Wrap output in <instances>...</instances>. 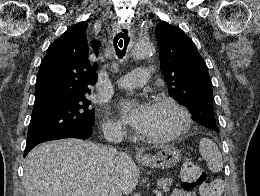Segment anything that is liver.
I'll use <instances>...</instances> for the list:
<instances>
[{
  "label": "liver",
  "mask_w": 260,
  "mask_h": 196,
  "mask_svg": "<svg viewBox=\"0 0 260 196\" xmlns=\"http://www.w3.org/2000/svg\"><path fill=\"white\" fill-rule=\"evenodd\" d=\"M117 156L111 164L106 146L75 138L39 144L24 164L26 196H106L111 176L122 194L129 196L141 172L128 154Z\"/></svg>",
  "instance_id": "liver-1"
}]
</instances>
